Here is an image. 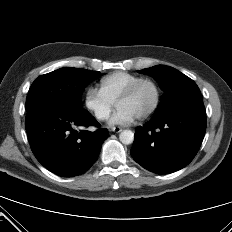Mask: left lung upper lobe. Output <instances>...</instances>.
<instances>
[{"label": "left lung upper lobe", "mask_w": 232, "mask_h": 232, "mask_svg": "<svg viewBox=\"0 0 232 232\" xmlns=\"http://www.w3.org/2000/svg\"><path fill=\"white\" fill-rule=\"evenodd\" d=\"M138 72L151 75L164 91L161 103L154 116L162 115L168 109L183 101L201 96L196 83L173 67L157 65Z\"/></svg>", "instance_id": "5c2ea615"}]
</instances>
